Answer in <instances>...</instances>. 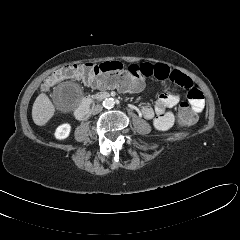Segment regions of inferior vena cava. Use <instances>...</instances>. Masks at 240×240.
Here are the masks:
<instances>
[{
    "instance_id": "1",
    "label": "inferior vena cava",
    "mask_w": 240,
    "mask_h": 240,
    "mask_svg": "<svg viewBox=\"0 0 240 240\" xmlns=\"http://www.w3.org/2000/svg\"><path fill=\"white\" fill-rule=\"evenodd\" d=\"M101 111H102V106L101 105H95L91 109L92 114H98Z\"/></svg>"
}]
</instances>
